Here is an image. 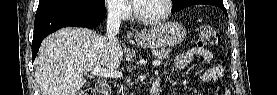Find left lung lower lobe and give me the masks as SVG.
Listing matches in <instances>:
<instances>
[{"mask_svg":"<svg viewBox=\"0 0 277 95\" xmlns=\"http://www.w3.org/2000/svg\"><path fill=\"white\" fill-rule=\"evenodd\" d=\"M196 4H208V5H213V6L219 7L227 15V11L223 5L222 0H195V1L191 2L190 4H188L186 7L191 6V5H196ZM176 12H178V11H176Z\"/></svg>","mask_w":277,"mask_h":95,"instance_id":"left-lung-lower-lobe-1","label":"left lung lower lobe"}]
</instances>
